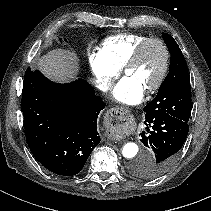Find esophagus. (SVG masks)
<instances>
[{"label": "esophagus", "mask_w": 211, "mask_h": 211, "mask_svg": "<svg viewBox=\"0 0 211 211\" xmlns=\"http://www.w3.org/2000/svg\"><path fill=\"white\" fill-rule=\"evenodd\" d=\"M124 110H125V108H123V107H114V108L110 109V111L115 114L121 113ZM107 137L109 139L118 140V138L116 136H111L110 134H108Z\"/></svg>", "instance_id": "obj_1"}]
</instances>
